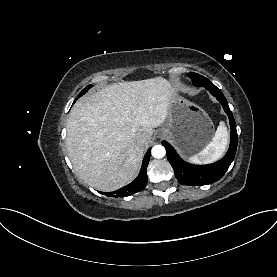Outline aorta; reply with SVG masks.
Segmentation results:
<instances>
[{"label": "aorta", "mask_w": 277, "mask_h": 277, "mask_svg": "<svg viewBox=\"0 0 277 277\" xmlns=\"http://www.w3.org/2000/svg\"><path fill=\"white\" fill-rule=\"evenodd\" d=\"M152 156L154 158H163L166 154V150L164 148V146L162 145H155L153 148H152Z\"/></svg>", "instance_id": "1"}]
</instances>
